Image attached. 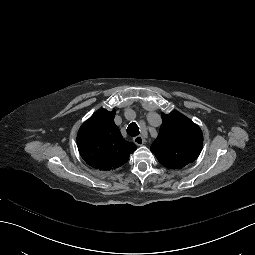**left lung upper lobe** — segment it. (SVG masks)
<instances>
[{
  "instance_id": "obj_1",
  "label": "left lung upper lobe",
  "mask_w": 255,
  "mask_h": 255,
  "mask_svg": "<svg viewBox=\"0 0 255 255\" xmlns=\"http://www.w3.org/2000/svg\"><path fill=\"white\" fill-rule=\"evenodd\" d=\"M162 125L151 152L159 163L181 169L194 162L202 150L203 135L198 125L177 111L162 114Z\"/></svg>"
}]
</instances>
